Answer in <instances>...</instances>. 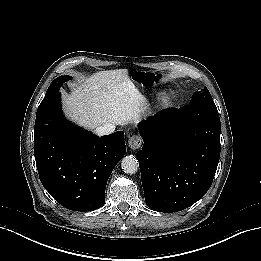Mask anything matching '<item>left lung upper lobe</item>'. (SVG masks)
I'll return each instance as SVG.
<instances>
[{"label":"left lung upper lobe","instance_id":"left-lung-upper-lobe-1","mask_svg":"<svg viewBox=\"0 0 261 261\" xmlns=\"http://www.w3.org/2000/svg\"><path fill=\"white\" fill-rule=\"evenodd\" d=\"M190 105H199L203 107L217 109L206 87L204 88V90L194 93Z\"/></svg>","mask_w":261,"mask_h":261}]
</instances>
